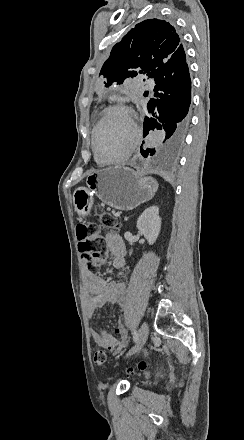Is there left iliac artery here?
<instances>
[{
	"label": "left iliac artery",
	"instance_id": "44dca946",
	"mask_svg": "<svg viewBox=\"0 0 244 440\" xmlns=\"http://www.w3.org/2000/svg\"><path fill=\"white\" fill-rule=\"evenodd\" d=\"M138 339V333L136 330H133V341L136 342Z\"/></svg>",
	"mask_w": 244,
	"mask_h": 440
}]
</instances>
